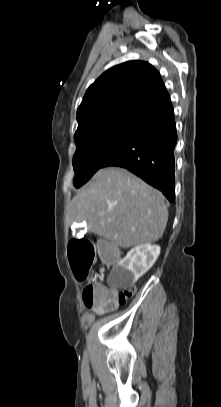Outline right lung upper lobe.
I'll list each match as a JSON object with an SVG mask.
<instances>
[{
	"label": "right lung upper lobe",
	"instance_id": "right-lung-upper-lobe-1",
	"mask_svg": "<svg viewBox=\"0 0 221 407\" xmlns=\"http://www.w3.org/2000/svg\"><path fill=\"white\" fill-rule=\"evenodd\" d=\"M169 102L159 72L149 63L129 61L114 66L86 91L77 110L74 140L116 124H139Z\"/></svg>",
	"mask_w": 221,
	"mask_h": 407
}]
</instances>
